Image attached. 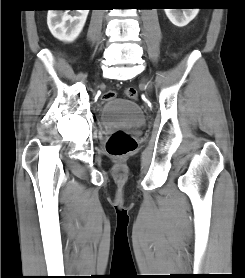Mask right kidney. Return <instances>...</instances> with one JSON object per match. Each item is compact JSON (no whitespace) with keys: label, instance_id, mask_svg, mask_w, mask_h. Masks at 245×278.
<instances>
[{"label":"right kidney","instance_id":"right-kidney-1","mask_svg":"<svg viewBox=\"0 0 245 278\" xmlns=\"http://www.w3.org/2000/svg\"><path fill=\"white\" fill-rule=\"evenodd\" d=\"M70 12V14H68ZM89 10H49L47 24L60 41L73 42L81 33Z\"/></svg>","mask_w":245,"mask_h":278}]
</instances>
